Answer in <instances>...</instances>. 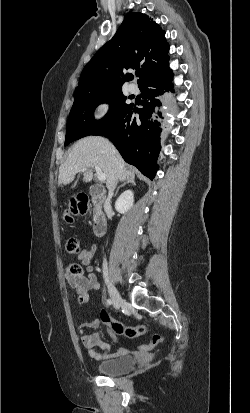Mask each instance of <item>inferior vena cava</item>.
I'll return each mask as SVG.
<instances>
[{
	"label": "inferior vena cava",
	"mask_w": 250,
	"mask_h": 413,
	"mask_svg": "<svg viewBox=\"0 0 250 413\" xmlns=\"http://www.w3.org/2000/svg\"><path fill=\"white\" fill-rule=\"evenodd\" d=\"M114 188H115V184H113L112 187L109 189L108 198H107V200H106V204H109V203H110V200H111L112 195H113Z\"/></svg>",
	"instance_id": "inferior-vena-cava-1"
}]
</instances>
